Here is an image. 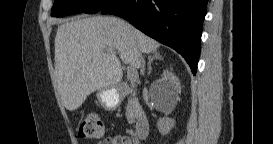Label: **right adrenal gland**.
<instances>
[{
  "label": "right adrenal gland",
  "instance_id": "2a0ac1e0",
  "mask_svg": "<svg viewBox=\"0 0 273 144\" xmlns=\"http://www.w3.org/2000/svg\"><path fill=\"white\" fill-rule=\"evenodd\" d=\"M154 59H160V60H162L163 57L160 55V52H158V51H154L152 53V55H149V57H148V64H147L148 65V75H151V72H152L151 63H152V61Z\"/></svg>",
  "mask_w": 273,
  "mask_h": 144
}]
</instances>
